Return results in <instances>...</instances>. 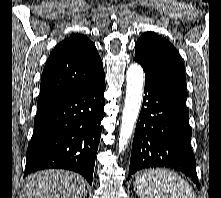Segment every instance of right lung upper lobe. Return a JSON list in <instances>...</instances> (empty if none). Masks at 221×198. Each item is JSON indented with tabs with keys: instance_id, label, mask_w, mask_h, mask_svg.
<instances>
[{
	"instance_id": "right-lung-upper-lobe-1",
	"label": "right lung upper lobe",
	"mask_w": 221,
	"mask_h": 198,
	"mask_svg": "<svg viewBox=\"0 0 221 198\" xmlns=\"http://www.w3.org/2000/svg\"><path fill=\"white\" fill-rule=\"evenodd\" d=\"M104 74L95 45L84 35L60 42L50 53L43 70L37 110L87 86Z\"/></svg>"
}]
</instances>
